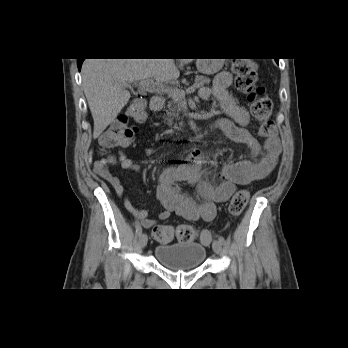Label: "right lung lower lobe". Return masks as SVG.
I'll return each instance as SVG.
<instances>
[{
  "label": "right lung lower lobe",
  "mask_w": 348,
  "mask_h": 348,
  "mask_svg": "<svg viewBox=\"0 0 348 348\" xmlns=\"http://www.w3.org/2000/svg\"><path fill=\"white\" fill-rule=\"evenodd\" d=\"M84 59H78V62H77V65H78V69L80 70L81 69V65L83 63Z\"/></svg>",
  "instance_id": "right-lung-lower-lobe-1"
}]
</instances>
